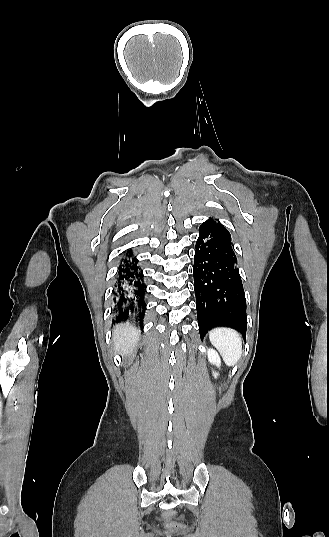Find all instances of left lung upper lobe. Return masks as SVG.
Segmentation results:
<instances>
[{
  "label": "left lung upper lobe",
  "instance_id": "1",
  "mask_svg": "<svg viewBox=\"0 0 329 537\" xmlns=\"http://www.w3.org/2000/svg\"><path fill=\"white\" fill-rule=\"evenodd\" d=\"M208 222L211 223V224H213V225H215V226H217V227L220 228L222 231H224L227 235L231 236L230 233L228 232V230H227L224 226L220 225L219 223H216L215 221H213V220H211V219L208 220Z\"/></svg>",
  "mask_w": 329,
  "mask_h": 537
}]
</instances>
